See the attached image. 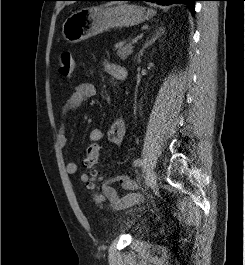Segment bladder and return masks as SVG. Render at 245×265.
<instances>
[{
	"instance_id": "1",
	"label": "bladder",
	"mask_w": 245,
	"mask_h": 265,
	"mask_svg": "<svg viewBox=\"0 0 245 265\" xmlns=\"http://www.w3.org/2000/svg\"><path fill=\"white\" fill-rule=\"evenodd\" d=\"M136 227V232H138V233H141V232H143L144 231V226L143 225H136L135 226Z\"/></svg>"
}]
</instances>
